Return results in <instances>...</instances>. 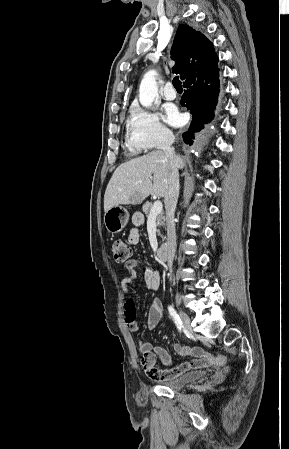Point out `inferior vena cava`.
Instances as JSON below:
<instances>
[{"mask_svg":"<svg viewBox=\"0 0 289 449\" xmlns=\"http://www.w3.org/2000/svg\"><path fill=\"white\" fill-rule=\"evenodd\" d=\"M174 139V135L172 133H168L159 145V149L163 151L169 159L168 191L165 195L164 203L166 209L168 267L170 271L172 270V264L176 252L174 215L179 196V174L174 149L172 148Z\"/></svg>","mask_w":289,"mask_h":449,"instance_id":"1","label":"inferior vena cava"}]
</instances>
